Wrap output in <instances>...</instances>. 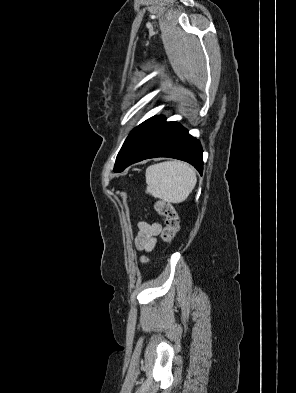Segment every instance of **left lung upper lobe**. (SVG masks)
<instances>
[{
	"mask_svg": "<svg viewBox=\"0 0 296 393\" xmlns=\"http://www.w3.org/2000/svg\"><path fill=\"white\" fill-rule=\"evenodd\" d=\"M155 118L156 116L144 121L143 123H141L131 131V133L126 138L121 150L117 155L115 166H114V172L121 171L130 153L132 152L136 143L140 139L141 135Z\"/></svg>",
	"mask_w": 296,
	"mask_h": 393,
	"instance_id": "5c2ea615",
	"label": "left lung upper lobe"
}]
</instances>
